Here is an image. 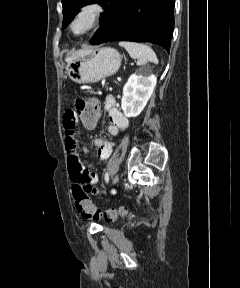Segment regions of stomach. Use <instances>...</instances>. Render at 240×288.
Instances as JSON below:
<instances>
[{
	"label": "stomach",
	"mask_w": 240,
	"mask_h": 288,
	"mask_svg": "<svg viewBox=\"0 0 240 288\" xmlns=\"http://www.w3.org/2000/svg\"><path fill=\"white\" fill-rule=\"evenodd\" d=\"M121 65L119 52L110 47L86 50L82 55L67 60L68 76L77 83H94L115 74Z\"/></svg>",
	"instance_id": "1"
}]
</instances>
